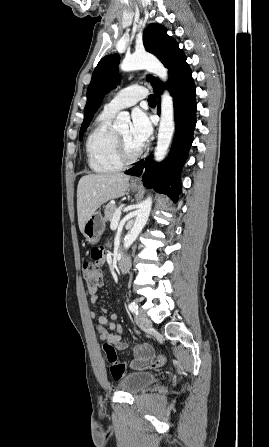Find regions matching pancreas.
Wrapping results in <instances>:
<instances>
[{
	"instance_id": "1",
	"label": "pancreas",
	"mask_w": 269,
	"mask_h": 447,
	"mask_svg": "<svg viewBox=\"0 0 269 447\" xmlns=\"http://www.w3.org/2000/svg\"><path fill=\"white\" fill-rule=\"evenodd\" d=\"M115 210H116L115 204H107V206H105L104 218H105L106 222H111Z\"/></svg>"
}]
</instances>
